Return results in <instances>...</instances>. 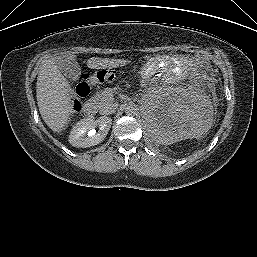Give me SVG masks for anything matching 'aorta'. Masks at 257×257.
I'll use <instances>...</instances> for the list:
<instances>
[{
	"instance_id": "762f6f07",
	"label": "aorta",
	"mask_w": 257,
	"mask_h": 257,
	"mask_svg": "<svg viewBox=\"0 0 257 257\" xmlns=\"http://www.w3.org/2000/svg\"><path fill=\"white\" fill-rule=\"evenodd\" d=\"M124 111L128 116H134L138 113V107L134 103H129L125 106Z\"/></svg>"
}]
</instances>
